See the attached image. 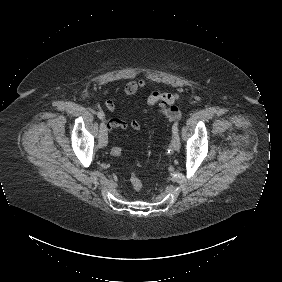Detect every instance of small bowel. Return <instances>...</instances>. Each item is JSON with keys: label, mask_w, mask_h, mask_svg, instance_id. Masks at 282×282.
Here are the masks:
<instances>
[{"label": "small bowel", "mask_w": 282, "mask_h": 282, "mask_svg": "<svg viewBox=\"0 0 282 282\" xmlns=\"http://www.w3.org/2000/svg\"><path fill=\"white\" fill-rule=\"evenodd\" d=\"M147 81L143 78L139 80H130L126 83L124 87V93L128 97L135 96L140 89L146 85ZM104 94L109 93V88L103 91ZM179 99L178 94L154 91L146 99L145 106L142 113L145 115L149 112L150 109L154 107H159L160 105H171L174 106V103ZM105 107L114 114V116L108 121L107 128L109 130L117 128L121 130H126L129 127L133 130H140L141 124L136 119H131L126 121L116 114V106L112 100L105 101Z\"/></svg>", "instance_id": "c3829d8e"}]
</instances>
